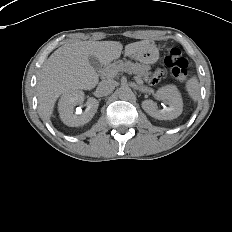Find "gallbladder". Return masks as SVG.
<instances>
[{
    "label": "gallbladder",
    "mask_w": 232,
    "mask_h": 232,
    "mask_svg": "<svg viewBox=\"0 0 232 232\" xmlns=\"http://www.w3.org/2000/svg\"><path fill=\"white\" fill-rule=\"evenodd\" d=\"M89 63L91 64V66L95 69V70H99V68L101 67V63L98 60V58L94 55H90L89 56Z\"/></svg>",
    "instance_id": "obj_1"
}]
</instances>
